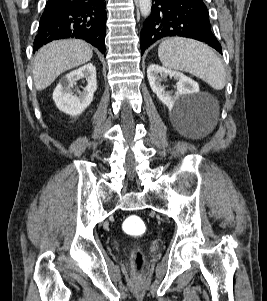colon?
I'll list each match as a JSON object with an SVG mask.
<instances>
[{
  "instance_id": "1",
  "label": "colon",
  "mask_w": 267,
  "mask_h": 301,
  "mask_svg": "<svg viewBox=\"0 0 267 301\" xmlns=\"http://www.w3.org/2000/svg\"><path fill=\"white\" fill-rule=\"evenodd\" d=\"M123 230L132 236H140L145 231L143 220L137 215H129L123 222ZM145 256L141 249L136 248L131 253L133 277L140 280L143 275Z\"/></svg>"
}]
</instances>
